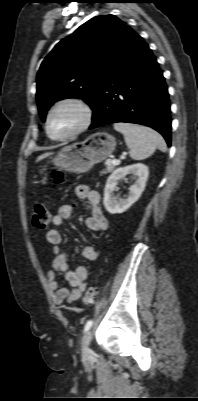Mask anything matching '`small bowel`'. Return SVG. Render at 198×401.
Listing matches in <instances>:
<instances>
[{
    "mask_svg": "<svg viewBox=\"0 0 198 401\" xmlns=\"http://www.w3.org/2000/svg\"><path fill=\"white\" fill-rule=\"evenodd\" d=\"M75 192L78 198L87 200V208L90 211V215L87 217L85 224L88 230L95 233L105 232L108 229V221L100 207L99 193L90 190L85 185L77 186ZM75 206L73 202L62 204L57 214L53 216V228H50L46 233L47 241L53 245L52 254L54 256L53 268L47 272L46 279L56 305L73 303L78 300L85 290L88 279V271L85 266H78L74 270L71 269L66 253L61 247L63 237L58 227L71 217ZM82 255L89 261H95L99 258L100 252L94 246H86L82 251ZM60 277L66 279L69 287L59 286Z\"/></svg>",
    "mask_w": 198,
    "mask_h": 401,
    "instance_id": "small-bowel-1",
    "label": "small bowel"
}]
</instances>
